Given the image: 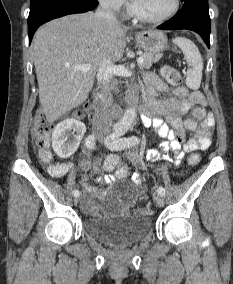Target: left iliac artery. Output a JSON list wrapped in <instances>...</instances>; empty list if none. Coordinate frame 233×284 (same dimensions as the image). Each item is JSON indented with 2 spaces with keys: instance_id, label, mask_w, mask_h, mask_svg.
Masks as SVG:
<instances>
[{
  "instance_id": "1",
  "label": "left iliac artery",
  "mask_w": 233,
  "mask_h": 284,
  "mask_svg": "<svg viewBox=\"0 0 233 284\" xmlns=\"http://www.w3.org/2000/svg\"><path fill=\"white\" fill-rule=\"evenodd\" d=\"M124 133H125L124 130L117 129L112 134H110L107 137V142H106L107 147L111 150H122L139 143L138 138L134 136L128 138H122L121 136ZM158 193L161 195H165V188L160 186L158 188Z\"/></svg>"
}]
</instances>
